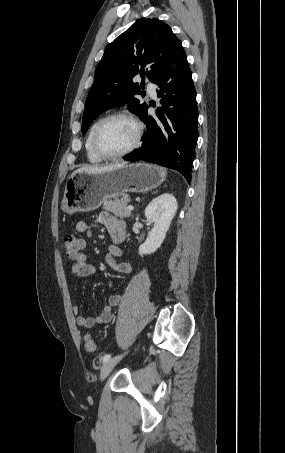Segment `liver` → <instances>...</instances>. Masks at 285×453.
<instances>
[{
    "label": "liver",
    "mask_w": 285,
    "mask_h": 453,
    "mask_svg": "<svg viewBox=\"0 0 285 453\" xmlns=\"http://www.w3.org/2000/svg\"><path fill=\"white\" fill-rule=\"evenodd\" d=\"M124 165H126V162H122V163H119V164H111V165H107V166H85V167H81V168L75 170L72 175L77 174V173H91V174H95V173H100V172L113 170L115 168H118V167H121V166H124Z\"/></svg>",
    "instance_id": "6515ba94"
}]
</instances>
